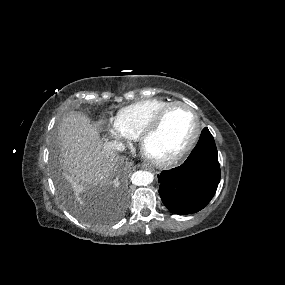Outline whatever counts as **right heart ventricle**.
<instances>
[{
	"instance_id": "right-heart-ventricle-1",
	"label": "right heart ventricle",
	"mask_w": 285,
	"mask_h": 285,
	"mask_svg": "<svg viewBox=\"0 0 285 285\" xmlns=\"http://www.w3.org/2000/svg\"><path fill=\"white\" fill-rule=\"evenodd\" d=\"M173 103L161 98H150L129 104L117 113L120 124L136 137L165 107Z\"/></svg>"
}]
</instances>
